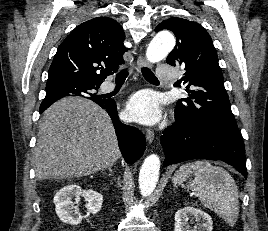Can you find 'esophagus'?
Instances as JSON below:
<instances>
[{
    "label": "esophagus",
    "instance_id": "1",
    "mask_svg": "<svg viewBox=\"0 0 268 231\" xmlns=\"http://www.w3.org/2000/svg\"><path fill=\"white\" fill-rule=\"evenodd\" d=\"M142 67H150L149 61L144 57V55H140L137 60V70L140 71ZM146 139L149 143H152L154 140V132L151 129L146 130Z\"/></svg>",
    "mask_w": 268,
    "mask_h": 231
}]
</instances>
